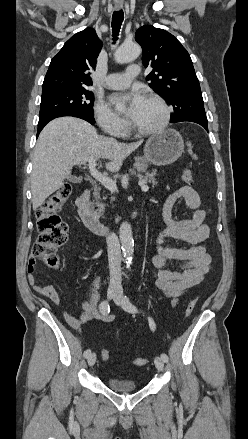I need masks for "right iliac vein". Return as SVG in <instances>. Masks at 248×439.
Wrapping results in <instances>:
<instances>
[{
  "mask_svg": "<svg viewBox=\"0 0 248 439\" xmlns=\"http://www.w3.org/2000/svg\"><path fill=\"white\" fill-rule=\"evenodd\" d=\"M116 295H117V291H116V289L115 288H113V287H110L109 289H108V291H107V296H108V298L109 299H114L115 297H116ZM96 354L95 353H92V354H90L89 356H88V359H87V362H88V365L89 366H93L94 364H95V362H96Z\"/></svg>",
  "mask_w": 248,
  "mask_h": 439,
  "instance_id": "63e3f726",
  "label": "right iliac vein"
}]
</instances>
